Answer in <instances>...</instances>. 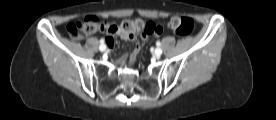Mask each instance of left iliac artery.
Masks as SVG:
<instances>
[{
  "label": "left iliac artery",
  "instance_id": "left-iliac-artery-1",
  "mask_svg": "<svg viewBox=\"0 0 276 120\" xmlns=\"http://www.w3.org/2000/svg\"><path fill=\"white\" fill-rule=\"evenodd\" d=\"M156 45H157V46H160V45H161L160 41H157V42H156Z\"/></svg>",
  "mask_w": 276,
  "mask_h": 120
}]
</instances>
